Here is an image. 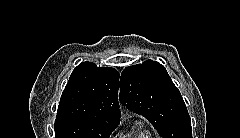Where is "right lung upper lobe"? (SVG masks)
Masks as SVG:
<instances>
[{
	"label": "right lung upper lobe",
	"instance_id": "cb5924a9",
	"mask_svg": "<svg viewBox=\"0 0 240 138\" xmlns=\"http://www.w3.org/2000/svg\"><path fill=\"white\" fill-rule=\"evenodd\" d=\"M119 73L110 67L83 62L72 72L62 93L56 119H80L118 125Z\"/></svg>",
	"mask_w": 240,
	"mask_h": 138
}]
</instances>
